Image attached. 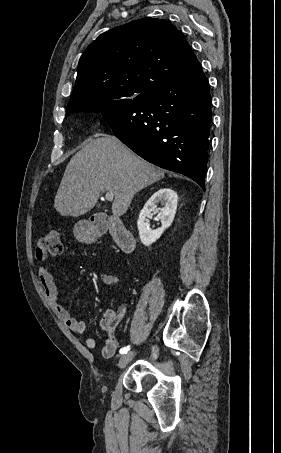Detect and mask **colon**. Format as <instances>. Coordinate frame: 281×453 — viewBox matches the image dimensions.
Listing matches in <instances>:
<instances>
[{"label": "colon", "instance_id": "obj_1", "mask_svg": "<svg viewBox=\"0 0 281 453\" xmlns=\"http://www.w3.org/2000/svg\"><path fill=\"white\" fill-rule=\"evenodd\" d=\"M60 231L61 228L58 226L47 227L46 234L40 241L39 250L37 253V261L44 262L50 257H59L62 252L60 242Z\"/></svg>", "mask_w": 281, "mask_h": 453}]
</instances>
